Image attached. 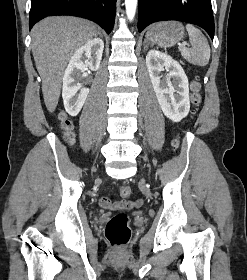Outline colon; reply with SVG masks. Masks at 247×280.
Listing matches in <instances>:
<instances>
[{"instance_id":"1","label":"colon","mask_w":247,"mask_h":280,"mask_svg":"<svg viewBox=\"0 0 247 280\" xmlns=\"http://www.w3.org/2000/svg\"><path fill=\"white\" fill-rule=\"evenodd\" d=\"M192 102L195 106L201 103V84L198 79H195L191 84ZM61 129L67 140L72 139L71 129L72 123L66 116H61ZM180 144L179 139H175L173 145L178 148ZM119 195L122 198H129L132 195V189L129 186H122L119 189ZM105 237L113 247L125 246L131 238V229L129 218L126 213L119 212L112 216L105 227Z\"/></svg>"}]
</instances>
